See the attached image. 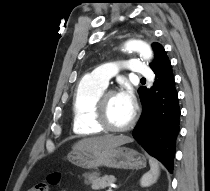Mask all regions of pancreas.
Returning a JSON list of instances; mask_svg holds the SVG:
<instances>
[{"mask_svg": "<svg viewBox=\"0 0 210 191\" xmlns=\"http://www.w3.org/2000/svg\"><path fill=\"white\" fill-rule=\"evenodd\" d=\"M84 178H85V183L91 184V188L93 190L105 189L110 184L116 181L115 177L112 175L110 176L105 175L103 177H99L97 173L85 174Z\"/></svg>", "mask_w": 210, "mask_h": 191, "instance_id": "obj_1", "label": "pancreas"}]
</instances>
